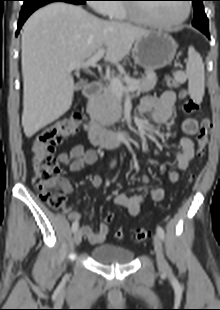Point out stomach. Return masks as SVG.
<instances>
[{"instance_id":"stomach-1","label":"stomach","mask_w":220,"mask_h":310,"mask_svg":"<svg viewBox=\"0 0 220 310\" xmlns=\"http://www.w3.org/2000/svg\"><path fill=\"white\" fill-rule=\"evenodd\" d=\"M176 50L177 44L169 34L153 31L136 39L132 57L136 64L152 71L171 64Z\"/></svg>"}]
</instances>
